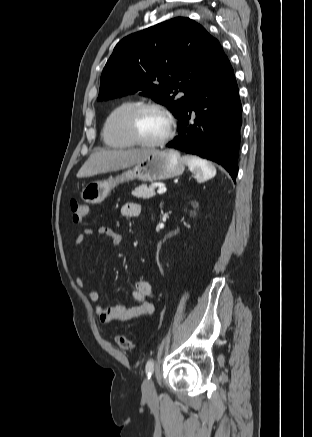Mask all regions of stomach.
Here are the masks:
<instances>
[{
	"label": "stomach",
	"instance_id": "obj_1",
	"mask_svg": "<svg viewBox=\"0 0 312 437\" xmlns=\"http://www.w3.org/2000/svg\"><path fill=\"white\" fill-rule=\"evenodd\" d=\"M185 163L174 149L151 150L142 160L116 177L105 181H93L84 186L81 198L88 204H100L119 183L139 179L144 182L166 180L181 175Z\"/></svg>",
	"mask_w": 312,
	"mask_h": 437
}]
</instances>
